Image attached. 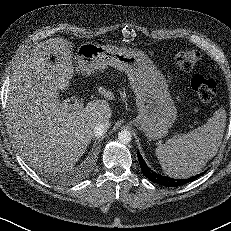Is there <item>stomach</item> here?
I'll use <instances>...</instances> for the list:
<instances>
[{"label":"stomach","instance_id":"0dacf381","mask_svg":"<svg viewBox=\"0 0 231 231\" xmlns=\"http://www.w3.org/2000/svg\"><path fill=\"white\" fill-rule=\"evenodd\" d=\"M112 67L125 72L136 97L138 116L131 121L149 140L164 137L177 117L165 76L142 51L91 44L74 56L75 73L90 76Z\"/></svg>","mask_w":231,"mask_h":231}]
</instances>
